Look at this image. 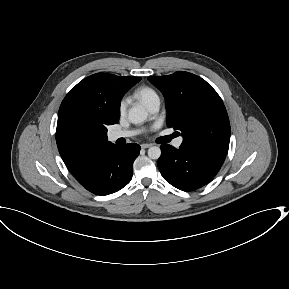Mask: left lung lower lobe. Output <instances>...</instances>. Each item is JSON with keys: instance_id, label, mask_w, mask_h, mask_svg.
Instances as JSON below:
<instances>
[{"instance_id": "left-lung-lower-lobe-1", "label": "left lung lower lobe", "mask_w": 289, "mask_h": 289, "mask_svg": "<svg viewBox=\"0 0 289 289\" xmlns=\"http://www.w3.org/2000/svg\"><path fill=\"white\" fill-rule=\"evenodd\" d=\"M161 150L158 168L163 178L183 191H193L209 183L226 156L184 142L179 149L161 145Z\"/></svg>"}]
</instances>
